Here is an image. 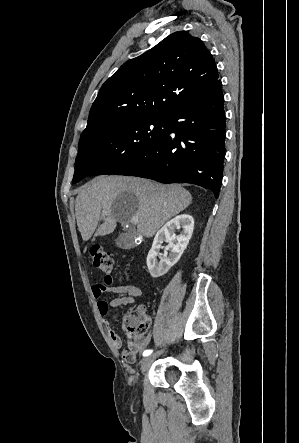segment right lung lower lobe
<instances>
[{
  "mask_svg": "<svg viewBox=\"0 0 299 443\" xmlns=\"http://www.w3.org/2000/svg\"><path fill=\"white\" fill-rule=\"evenodd\" d=\"M166 117L168 130L164 138L146 155L114 175L196 184L210 189L218 198L225 154L221 81L218 79L203 94Z\"/></svg>",
  "mask_w": 299,
  "mask_h": 443,
  "instance_id": "right-lung-lower-lobe-1",
  "label": "right lung lower lobe"
}]
</instances>
